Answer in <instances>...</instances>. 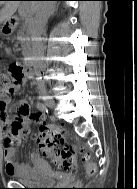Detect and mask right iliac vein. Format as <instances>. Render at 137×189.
Returning <instances> with one entry per match:
<instances>
[{
	"instance_id": "1",
	"label": "right iliac vein",
	"mask_w": 137,
	"mask_h": 189,
	"mask_svg": "<svg viewBox=\"0 0 137 189\" xmlns=\"http://www.w3.org/2000/svg\"><path fill=\"white\" fill-rule=\"evenodd\" d=\"M42 98L45 101V104L49 107V108H54L55 107V102L54 100L47 94L46 91L42 92Z\"/></svg>"
}]
</instances>
